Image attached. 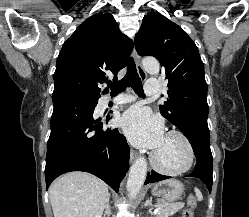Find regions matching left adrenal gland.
Returning <instances> with one entry per match:
<instances>
[{
    "label": "left adrenal gland",
    "mask_w": 249,
    "mask_h": 217,
    "mask_svg": "<svg viewBox=\"0 0 249 217\" xmlns=\"http://www.w3.org/2000/svg\"><path fill=\"white\" fill-rule=\"evenodd\" d=\"M144 205L150 207V209L148 210V213L152 215L153 205H152V200H151V198H150V199H147Z\"/></svg>",
    "instance_id": "1"
}]
</instances>
